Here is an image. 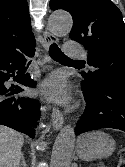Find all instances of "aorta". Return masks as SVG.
I'll use <instances>...</instances> for the list:
<instances>
[{
  "mask_svg": "<svg viewBox=\"0 0 125 167\" xmlns=\"http://www.w3.org/2000/svg\"><path fill=\"white\" fill-rule=\"evenodd\" d=\"M72 17L62 11L53 12L48 25L50 31L56 36H63L70 32L72 28ZM75 143L74 128L67 125L57 136L53 146L50 167H69Z\"/></svg>",
  "mask_w": 125,
  "mask_h": 167,
  "instance_id": "aorta-1",
  "label": "aorta"
}]
</instances>
